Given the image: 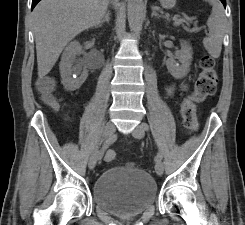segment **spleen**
I'll use <instances>...</instances> for the list:
<instances>
[{
  "mask_svg": "<svg viewBox=\"0 0 245 225\" xmlns=\"http://www.w3.org/2000/svg\"><path fill=\"white\" fill-rule=\"evenodd\" d=\"M206 1L212 5V13L207 21L209 35L203 39V45L212 57L218 58L222 49L226 18L223 6L219 3V0Z\"/></svg>",
  "mask_w": 245,
  "mask_h": 225,
  "instance_id": "3e777b00",
  "label": "spleen"
}]
</instances>
